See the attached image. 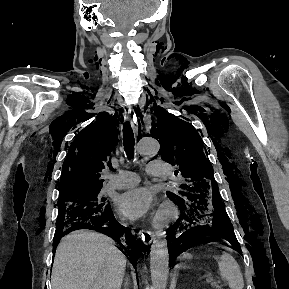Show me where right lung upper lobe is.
I'll return each mask as SVG.
<instances>
[{
    "label": "right lung upper lobe",
    "mask_w": 289,
    "mask_h": 289,
    "mask_svg": "<svg viewBox=\"0 0 289 289\" xmlns=\"http://www.w3.org/2000/svg\"><path fill=\"white\" fill-rule=\"evenodd\" d=\"M117 123V121H115ZM114 120L106 113L81 130L70 145L57 184L60 196L101 189L100 172L109 164L110 153L117 143Z\"/></svg>",
    "instance_id": "1"
}]
</instances>
